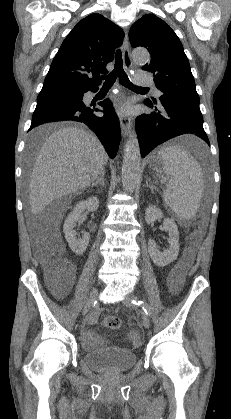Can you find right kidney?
<instances>
[{
	"label": "right kidney",
	"mask_w": 231,
	"mask_h": 419,
	"mask_svg": "<svg viewBox=\"0 0 231 419\" xmlns=\"http://www.w3.org/2000/svg\"><path fill=\"white\" fill-rule=\"evenodd\" d=\"M98 207V198L96 196L89 197L84 201L78 202L64 222L63 232L65 234V239L67 240L71 250L76 255H81L85 252L89 243L90 235L89 233L84 232L82 238H77L74 228L77 222L80 221L81 214L85 210L94 212L98 209Z\"/></svg>",
	"instance_id": "1"
}]
</instances>
